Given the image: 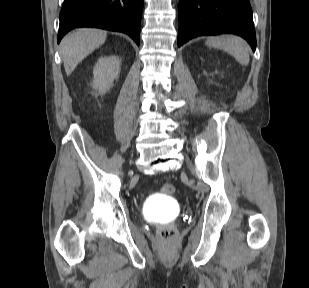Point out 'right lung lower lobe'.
I'll list each match as a JSON object with an SVG mask.
<instances>
[{"instance_id": "right-lung-lower-lobe-1", "label": "right lung lower lobe", "mask_w": 309, "mask_h": 288, "mask_svg": "<svg viewBox=\"0 0 309 288\" xmlns=\"http://www.w3.org/2000/svg\"><path fill=\"white\" fill-rule=\"evenodd\" d=\"M144 0H64L57 42L77 27L128 34L139 45Z\"/></svg>"}]
</instances>
